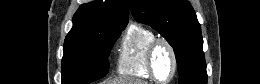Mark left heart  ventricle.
Here are the masks:
<instances>
[{
  "label": "left heart ventricle",
  "mask_w": 260,
  "mask_h": 84,
  "mask_svg": "<svg viewBox=\"0 0 260 84\" xmlns=\"http://www.w3.org/2000/svg\"><path fill=\"white\" fill-rule=\"evenodd\" d=\"M155 72L160 80L167 79L172 71V58L165 46L158 48L154 58Z\"/></svg>",
  "instance_id": "obj_1"
}]
</instances>
